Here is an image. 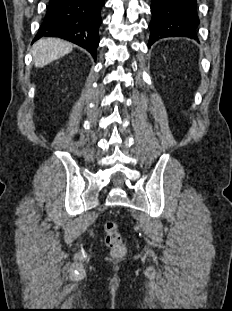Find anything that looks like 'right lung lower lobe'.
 I'll return each mask as SVG.
<instances>
[{"label": "right lung lower lobe", "instance_id": "right-lung-lower-lobe-1", "mask_svg": "<svg viewBox=\"0 0 232 311\" xmlns=\"http://www.w3.org/2000/svg\"><path fill=\"white\" fill-rule=\"evenodd\" d=\"M104 0H50L44 21L33 40L55 36L75 43L96 58Z\"/></svg>", "mask_w": 232, "mask_h": 311}]
</instances>
